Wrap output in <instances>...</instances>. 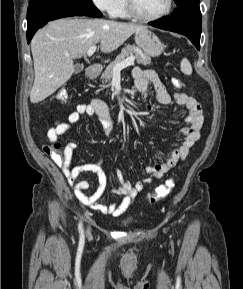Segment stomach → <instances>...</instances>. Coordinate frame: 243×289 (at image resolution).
<instances>
[{
  "label": "stomach",
  "instance_id": "0dacf381",
  "mask_svg": "<svg viewBox=\"0 0 243 289\" xmlns=\"http://www.w3.org/2000/svg\"><path fill=\"white\" fill-rule=\"evenodd\" d=\"M135 42L145 54L152 57L159 56L164 50V44L148 28L135 33Z\"/></svg>",
  "mask_w": 243,
  "mask_h": 289
}]
</instances>
